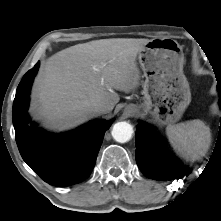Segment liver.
<instances>
[{"instance_id":"6515ba94","label":"liver","mask_w":221,"mask_h":221,"mask_svg":"<svg viewBox=\"0 0 221 221\" xmlns=\"http://www.w3.org/2000/svg\"><path fill=\"white\" fill-rule=\"evenodd\" d=\"M149 39L113 38L77 44L52 55L33 87L31 110L45 127L63 131L91 118L86 108L101 103L107 112L119 102L113 90L139 85L137 54Z\"/></svg>"}]
</instances>
